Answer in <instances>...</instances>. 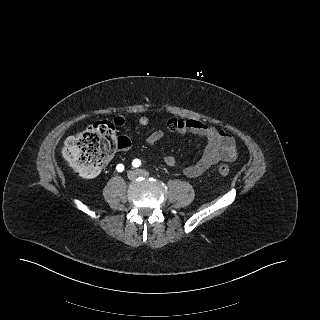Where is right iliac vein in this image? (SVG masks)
I'll return each instance as SVG.
<instances>
[{"label": "right iliac vein", "instance_id": "obj_1", "mask_svg": "<svg viewBox=\"0 0 320 320\" xmlns=\"http://www.w3.org/2000/svg\"><path fill=\"white\" fill-rule=\"evenodd\" d=\"M127 177H128L129 180H134L137 177L136 171H129L127 173Z\"/></svg>", "mask_w": 320, "mask_h": 320}]
</instances>
